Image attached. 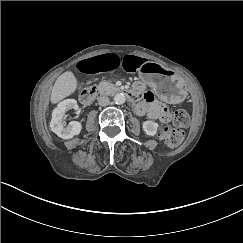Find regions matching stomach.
Returning <instances> with one entry per match:
<instances>
[{
  "mask_svg": "<svg viewBox=\"0 0 243 243\" xmlns=\"http://www.w3.org/2000/svg\"><path fill=\"white\" fill-rule=\"evenodd\" d=\"M140 79L149 85L165 102L180 103L184 100V81L171 69L155 62H144L139 69Z\"/></svg>",
  "mask_w": 243,
  "mask_h": 243,
  "instance_id": "obj_1",
  "label": "stomach"
}]
</instances>
